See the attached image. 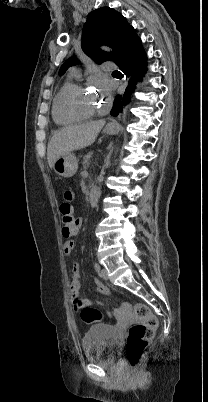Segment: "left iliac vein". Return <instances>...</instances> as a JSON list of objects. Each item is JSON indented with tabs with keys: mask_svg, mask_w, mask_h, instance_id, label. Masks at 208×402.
I'll return each instance as SVG.
<instances>
[{
	"mask_svg": "<svg viewBox=\"0 0 208 402\" xmlns=\"http://www.w3.org/2000/svg\"><path fill=\"white\" fill-rule=\"evenodd\" d=\"M100 277L102 278V279H104V280H107L108 279V273H107V270L105 269V268H103L101 271H100Z\"/></svg>",
	"mask_w": 208,
	"mask_h": 402,
	"instance_id": "obj_1",
	"label": "left iliac vein"
}]
</instances>
